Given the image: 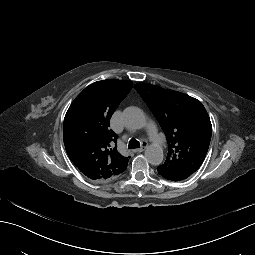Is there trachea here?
<instances>
[{
  "label": "trachea",
  "mask_w": 255,
  "mask_h": 255,
  "mask_svg": "<svg viewBox=\"0 0 255 255\" xmlns=\"http://www.w3.org/2000/svg\"><path fill=\"white\" fill-rule=\"evenodd\" d=\"M128 147H129V149L139 148L140 147V143L137 140H135V139H131L129 141Z\"/></svg>",
  "instance_id": "trachea-1"
}]
</instances>
